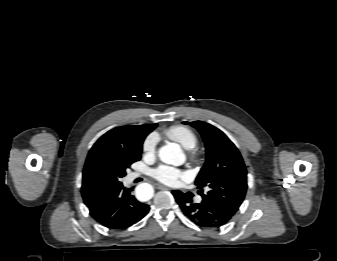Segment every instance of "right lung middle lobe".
<instances>
[{
	"mask_svg": "<svg viewBox=\"0 0 337 261\" xmlns=\"http://www.w3.org/2000/svg\"><path fill=\"white\" fill-rule=\"evenodd\" d=\"M142 149L135 155L102 151L94 155L83 170V183L95 194L103 195L121 184L126 169L141 158Z\"/></svg>",
	"mask_w": 337,
	"mask_h": 261,
	"instance_id": "right-lung-middle-lobe-1",
	"label": "right lung middle lobe"
}]
</instances>
